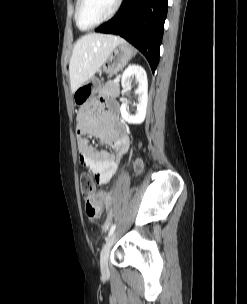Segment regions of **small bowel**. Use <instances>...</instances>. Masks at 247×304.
Segmentation results:
<instances>
[{
	"label": "small bowel",
	"mask_w": 247,
	"mask_h": 304,
	"mask_svg": "<svg viewBox=\"0 0 247 304\" xmlns=\"http://www.w3.org/2000/svg\"><path fill=\"white\" fill-rule=\"evenodd\" d=\"M76 131L79 135L80 162L95 175L99 185L107 184L129 148V135L120 119L118 104L101 98L82 106L78 113ZM89 138L97 139L112 151L95 147Z\"/></svg>",
	"instance_id": "1"
}]
</instances>
